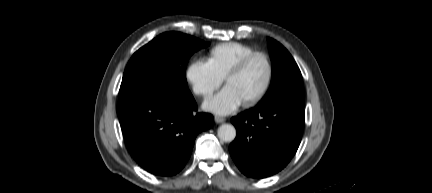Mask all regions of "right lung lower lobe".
I'll return each mask as SVG.
<instances>
[{"instance_id":"1","label":"right lung lower lobe","mask_w":432,"mask_h":193,"mask_svg":"<svg viewBox=\"0 0 432 193\" xmlns=\"http://www.w3.org/2000/svg\"><path fill=\"white\" fill-rule=\"evenodd\" d=\"M196 110L192 95L143 90L121 98L118 115L132 157L152 174H177L188 161L197 134L214 122L212 115Z\"/></svg>"}]
</instances>
